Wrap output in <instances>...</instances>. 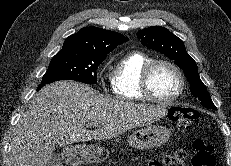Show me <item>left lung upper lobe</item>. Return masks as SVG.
Segmentation results:
<instances>
[{
  "label": "left lung upper lobe",
  "instance_id": "1",
  "mask_svg": "<svg viewBox=\"0 0 231 166\" xmlns=\"http://www.w3.org/2000/svg\"><path fill=\"white\" fill-rule=\"evenodd\" d=\"M137 37L144 46L174 60L185 72V76L190 84L191 94L197 97L204 107L216 109L205 85L199 77L196 62L186 52L185 45L180 38L161 26H151L140 30L137 32Z\"/></svg>",
  "mask_w": 231,
  "mask_h": 166
}]
</instances>
